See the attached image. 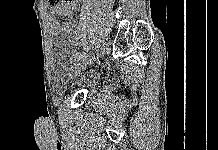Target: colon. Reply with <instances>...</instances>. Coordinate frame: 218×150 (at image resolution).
Wrapping results in <instances>:
<instances>
[{
	"label": "colon",
	"mask_w": 218,
	"mask_h": 150,
	"mask_svg": "<svg viewBox=\"0 0 218 150\" xmlns=\"http://www.w3.org/2000/svg\"><path fill=\"white\" fill-rule=\"evenodd\" d=\"M60 0H49V5H56Z\"/></svg>",
	"instance_id": "obj_1"
}]
</instances>
